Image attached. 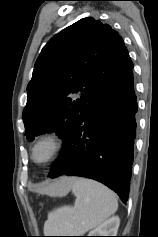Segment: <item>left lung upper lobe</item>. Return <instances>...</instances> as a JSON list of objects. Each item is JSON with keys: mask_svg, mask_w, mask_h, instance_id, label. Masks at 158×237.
Instances as JSON below:
<instances>
[{"mask_svg": "<svg viewBox=\"0 0 158 237\" xmlns=\"http://www.w3.org/2000/svg\"><path fill=\"white\" fill-rule=\"evenodd\" d=\"M133 68L121 36L92 17L65 28L43 47L27 87L28 140L55 131L65 139L101 90Z\"/></svg>", "mask_w": 158, "mask_h": 237, "instance_id": "5c2ea615", "label": "left lung upper lobe"}]
</instances>
